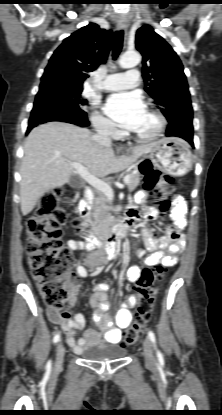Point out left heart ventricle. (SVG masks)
Here are the masks:
<instances>
[{
    "mask_svg": "<svg viewBox=\"0 0 222 415\" xmlns=\"http://www.w3.org/2000/svg\"><path fill=\"white\" fill-rule=\"evenodd\" d=\"M157 126L158 121L155 116L145 109L134 127L130 130L137 134L150 135L156 130Z\"/></svg>",
    "mask_w": 222,
    "mask_h": 415,
    "instance_id": "1",
    "label": "left heart ventricle"
}]
</instances>
